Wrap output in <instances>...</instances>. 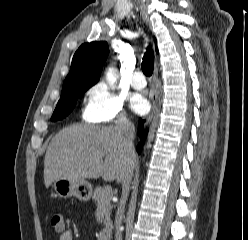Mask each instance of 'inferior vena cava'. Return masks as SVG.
<instances>
[{"label":"inferior vena cava","mask_w":248,"mask_h":240,"mask_svg":"<svg viewBox=\"0 0 248 240\" xmlns=\"http://www.w3.org/2000/svg\"><path fill=\"white\" fill-rule=\"evenodd\" d=\"M116 128L122 133L127 149L129 151L134 150V144H133L134 134H135L134 125L128 120L121 119L116 123ZM132 177H133V170L129 169L121 180L122 196H121L120 204L118 207V213H117L118 218L116 219L115 240H122L120 226L122 222V216H123L127 196L129 193V188H130V184L132 181Z\"/></svg>","instance_id":"1"}]
</instances>
